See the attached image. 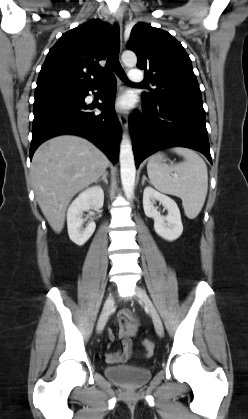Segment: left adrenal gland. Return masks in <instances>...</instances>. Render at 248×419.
Returning <instances> with one entry per match:
<instances>
[{"label":"left adrenal gland","instance_id":"left-adrenal-gland-1","mask_svg":"<svg viewBox=\"0 0 248 419\" xmlns=\"http://www.w3.org/2000/svg\"><path fill=\"white\" fill-rule=\"evenodd\" d=\"M145 180H147V181H148V179H147V178H146V176L144 175V176H143V178H142V185H144Z\"/></svg>","mask_w":248,"mask_h":419}]
</instances>
